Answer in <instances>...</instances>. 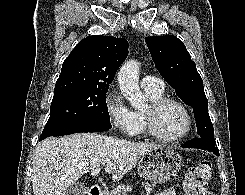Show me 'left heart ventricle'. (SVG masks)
<instances>
[{"label": "left heart ventricle", "instance_id": "left-heart-ventricle-1", "mask_svg": "<svg viewBox=\"0 0 245 195\" xmlns=\"http://www.w3.org/2000/svg\"><path fill=\"white\" fill-rule=\"evenodd\" d=\"M156 127L166 136L179 135L187 127L186 114L178 105L168 104L158 113Z\"/></svg>", "mask_w": 245, "mask_h": 195}]
</instances>
